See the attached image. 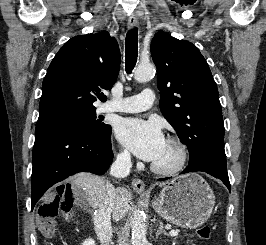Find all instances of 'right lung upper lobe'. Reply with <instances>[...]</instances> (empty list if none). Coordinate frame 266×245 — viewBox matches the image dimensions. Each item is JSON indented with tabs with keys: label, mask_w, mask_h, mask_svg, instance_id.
Wrapping results in <instances>:
<instances>
[{
	"label": "right lung upper lobe",
	"mask_w": 266,
	"mask_h": 245,
	"mask_svg": "<svg viewBox=\"0 0 266 245\" xmlns=\"http://www.w3.org/2000/svg\"><path fill=\"white\" fill-rule=\"evenodd\" d=\"M120 68V50L107 31L71 38L52 60L42 84L39 120L95 108L106 101L101 89H111Z\"/></svg>",
	"instance_id": "obj_1"
}]
</instances>
